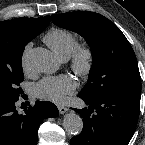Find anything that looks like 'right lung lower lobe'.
<instances>
[{"label": "right lung lower lobe", "instance_id": "obj_1", "mask_svg": "<svg viewBox=\"0 0 145 145\" xmlns=\"http://www.w3.org/2000/svg\"><path fill=\"white\" fill-rule=\"evenodd\" d=\"M17 100H0V145H37L38 128L45 118L57 117V107L49 101H36L19 114Z\"/></svg>", "mask_w": 145, "mask_h": 145}]
</instances>
